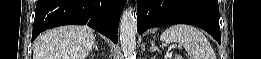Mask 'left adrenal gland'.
<instances>
[{"mask_svg":"<svg viewBox=\"0 0 261 59\" xmlns=\"http://www.w3.org/2000/svg\"><path fill=\"white\" fill-rule=\"evenodd\" d=\"M154 51L160 52L159 48L157 46H155V42L152 41L151 42V47H150V52H154Z\"/></svg>","mask_w":261,"mask_h":59,"instance_id":"left-adrenal-gland-1","label":"left adrenal gland"}]
</instances>
